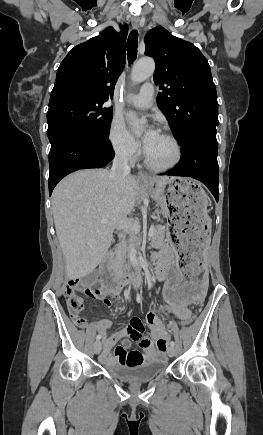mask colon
<instances>
[{
  "label": "colon",
  "instance_id": "obj_1",
  "mask_svg": "<svg viewBox=\"0 0 263 435\" xmlns=\"http://www.w3.org/2000/svg\"><path fill=\"white\" fill-rule=\"evenodd\" d=\"M78 291H84L85 294L89 298H96L99 294L98 288L95 285H86L81 280H70L65 285V300L67 304L68 311L74 320V322L78 326H83V318L80 316L83 310V300L77 294ZM191 325L190 321H182L181 324L178 325L179 329H187ZM174 323L172 321H167V328L165 329L167 332L170 329H174ZM154 341V339H153ZM155 343L157 341H154Z\"/></svg>",
  "mask_w": 263,
  "mask_h": 435
}]
</instances>
